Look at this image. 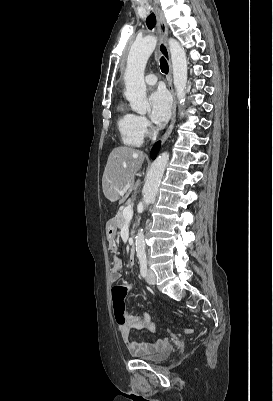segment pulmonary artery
<instances>
[{
	"label": "pulmonary artery",
	"mask_w": 273,
	"mask_h": 401,
	"mask_svg": "<svg viewBox=\"0 0 273 401\" xmlns=\"http://www.w3.org/2000/svg\"><path fill=\"white\" fill-rule=\"evenodd\" d=\"M146 81L148 83H156L158 81V76L156 74H148L146 76Z\"/></svg>",
	"instance_id": "1"
}]
</instances>
